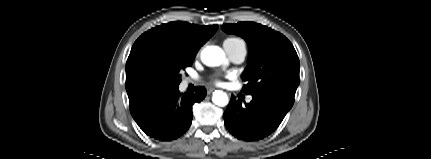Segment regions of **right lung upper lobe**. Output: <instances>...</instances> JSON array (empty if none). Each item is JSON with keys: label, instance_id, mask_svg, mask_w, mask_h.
I'll return each instance as SVG.
<instances>
[{"label": "right lung upper lobe", "instance_id": "right-lung-upper-lobe-1", "mask_svg": "<svg viewBox=\"0 0 431 159\" xmlns=\"http://www.w3.org/2000/svg\"><path fill=\"white\" fill-rule=\"evenodd\" d=\"M218 25L198 26L183 21L162 24L142 34L133 44L126 62V90L129 101L157 89L145 77L138 63L142 50L158 47L196 56L200 47L217 31Z\"/></svg>", "mask_w": 431, "mask_h": 159}]
</instances>
